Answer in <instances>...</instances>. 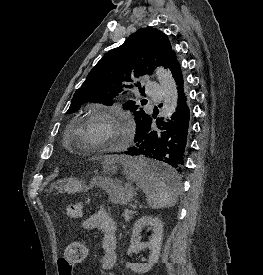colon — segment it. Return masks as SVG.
Segmentation results:
<instances>
[{"mask_svg":"<svg viewBox=\"0 0 263 275\" xmlns=\"http://www.w3.org/2000/svg\"><path fill=\"white\" fill-rule=\"evenodd\" d=\"M83 210V202H74L67 206L66 214L69 218L76 219L82 216ZM86 256L87 246L85 242L81 240L73 241L67 246L64 255L59 258L58 266L66 275H72L70 273L73 272L74 266L82 263Z\"/></svg>","mask_w":263,"mask_h":275,"instance_id":"5ec220e1","label":"colon"}]
</instances>
